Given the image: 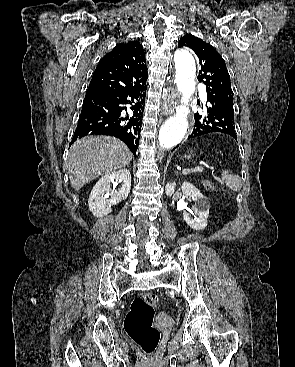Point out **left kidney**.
I'll return each instance as SVG.
<instances>
[{
  "label": "left kidney",
  "mask_w": 295,
  "mask_h": 367,
  "mask_svg": "<svg viewBox=\"0 0 295 367\" xmlns=\"http://www.w3.org/2000/svg\"><path fill=\"white\" fill-rule=\"evenodd\" d=\"M176 188L175 182L167 183L165 186L166 195L171 197ZM182 192L183 195L186 196L189 200H193L195 202L194 212L198 216L195 219H192L187 213H183V219L194 230H202L207 226V219L209 215L210 202L209 200L195 187L193 184L189 182H184L182 184Z\"/></svg>",
  "instance_id": "1"
}]
</instances>
